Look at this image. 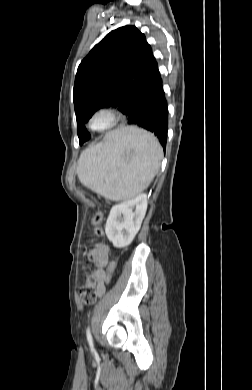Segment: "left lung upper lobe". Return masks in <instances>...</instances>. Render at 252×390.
<instances>
[{"label":"left lung upper lobe","mask_w":252,"mask_h":390,"mask_svg":"<svg viewBox=\"0 0 252 390\" xmlns=\"http://www.w3.org/2000/svg\"><path fill=\"white\" fill-rule=\"evenodd\" d=\"M156 67L145 35L135 26L113 30L95 45L80 63L73 89L79 143L95 111L112 106L122 112Z\"/></svg>","instance_id":"1"}]
</instances>
